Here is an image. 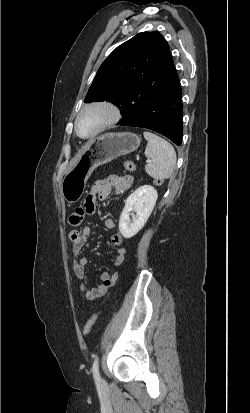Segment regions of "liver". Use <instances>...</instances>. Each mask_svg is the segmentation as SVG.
Returning a JSON list of instances; mask_svg holds the SVG:
<instances>
[{"instance_id":"liver-1","label":"liver","mask_w":250,"mask_h":413,"mask_svg":"<svg viewBox=\"0 0 250 413\" xmlns=\"http://www.w3.org/2000/svg\"><path fill=\"white\" fill-rule=\"evenodd\" d=\"M82 153H79L78 156L75 158L74 162L80 157Z\"/></svg>"}]
</instances>
